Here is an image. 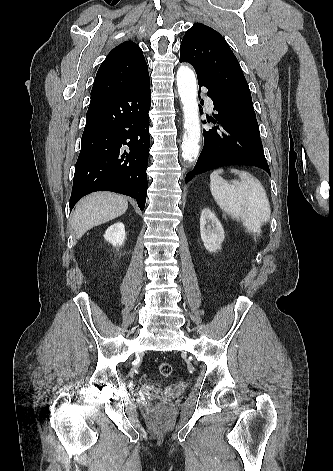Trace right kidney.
<instances>
[{
    "label": "right kidney",
    "instance_id": "obj_1",
    "mask_svg": "<svg viewBox=\"0 0 333 471\" xmlns=\"http://www.w3.org/2000/svg\"><path fill=\"white\" fill-rule=\"evenodd\" d=\"M104 238L113 246H122L125 240V227L122 222L111 225L105 232Z\"/></svg>",
    "mask_w": 333,
    "mask_h": 471
}]
</instances>
